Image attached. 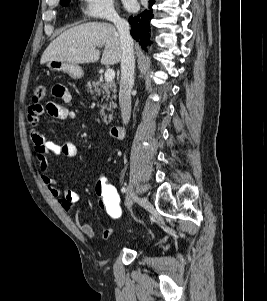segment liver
Segmentation results:
<instances>
[{"mask_svg": "<svg viewBox=\"0 0 267 301\" xmlns=\"http://www.w3.org/2000/svg\"><path fill=\"white\" fill-rule=\"evenodd\" d=\"M105 46L101 64L113 65L121 60L122 46L117 28L110 23L88 22L71 28L53 40L42 54L40 63L64 61L71 64L97 62Z\"/></svg>", "mask_w": 267, "mask_h": 301, "instance_id": "1", "label": "liver"}]
</instances>
